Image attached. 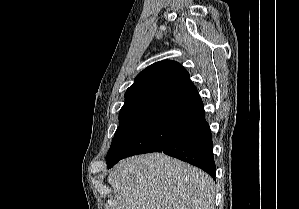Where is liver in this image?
<instances>
[{"label": "liver", "instance_id": "6515ba94", "mask_svg": "<svg viewBox=\"0 0 299 209\" xmlns=\"http://www.w3.org/2000/svg\"><path fill=\"white\" fill-rule=\"evenodd\" d=\"M108 183L116 209H214L213 179L163 153L121 161L109 173Z\"/></svg>", "mask_w": 299, "mask_h": 209}]
</instances>
